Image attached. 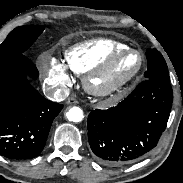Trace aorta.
Listing matches in <instances>:
<instances>
[{
	"instance_id": "1",
	"label": "aorta",
	"mask_w": 183,
	"mask_h": 183,
	"mask_svg": "<svg viewBox=\"0 0 183 183\" xmlns=\"http://www.w3.org/2000/svg\"><path fill=\"white\" fill-rule=\"evenodd\" d=\"M66 116L71 122H81L84 117L82 109L77 106L70 108Z\"/></svg>"
}]
</instances>
